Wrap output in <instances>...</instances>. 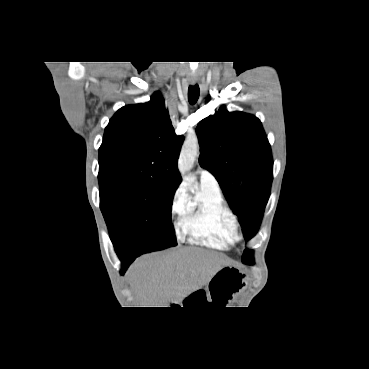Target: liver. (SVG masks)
I'll return each instance as SVG.
<instances>
[{
  "mask_svg": "<svg viewBox=\"0 0 369 369\" xmlns=\"http://www.w3.org/2000/svg\"><path fill=\"white\" fill-rule=\"evenodd\" d=\"M225 264L222 256L186 247L144 255L128 270L140 307H168L207 284Z\"/></svg>",
  "mask_w": 369,
  "mask_h": 369,
  "instance_id": "1",
  "label": "liver"
}]
</instances>
